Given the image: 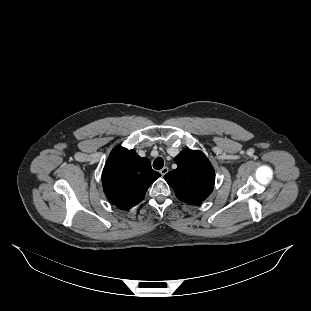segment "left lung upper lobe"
Segmentation results:
<instances>
[{"mask_svg": "<svg viewBox=\"0 0 311 311\" xmlns=\"http://www.w3.org/2000/svg\"><path fill=\"white\" fill-rule=\"evenodd\" d=\"M177 168L164 178L175 190L179 200L197 205L212 192L215 182L214 169L201 151L183 150L174 159Z\"/></svg>", "mask_w": 311, "mask_h": 311, "instance_id": "left-lung-upper-lobe-1", "label": "left lung upper lobe"}]
</instances>
